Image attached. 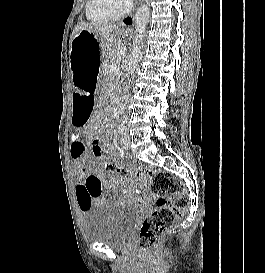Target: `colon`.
<instances>
[{"label": "colon", "mask_w": 265, "mask_h": 273, "mask_svg": "<svg viewBox=\"0 0 265 273\" xmlns=\"http://www.w3.org/2000/svg\"><path fill=\"white\" fill-rule=\"evenodd\" d=\"M92 153L97 159L105 156V150L97 139L92 142ZM104 167L112 174L130 175L145 180V186L155 197L156 208L141 224L137 239L141 249L151 250L175 220L182 216L189 203L180 181L169 172L151 168L133 170L109 162Z\"/></svg>", "instance_id": "colon-1"}]
</instances>
